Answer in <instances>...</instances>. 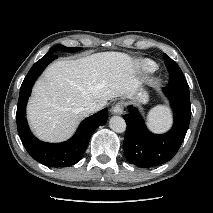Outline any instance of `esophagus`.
<instances>
[{
    "label": "esophagus",
    "instance_id": "esophagus-1",
    "mask_svg": "<svg viewBox=\"0 0 213 213\" xmlns=\"http://www.w3.org/2000/svg\"><path fill=\"white\" fill-rule=\"evenodd\" d=\"M123 111H124V105L122 102L116 103L111 109L112 114L121 115Z\"/></svg>",
    "mask_w": 213,
    "mask_h": 213
}]
</instances>
